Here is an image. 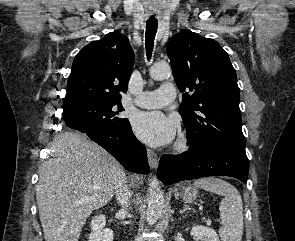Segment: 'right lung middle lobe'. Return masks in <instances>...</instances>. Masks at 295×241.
I'll list each match as a JSON object with an SVG mask.
<instances>
[{
  "label": "right lung middle lobe",
  "mask_w": 295,
  "mask_h": 241,
  "mask_svg": "<svg viewBox=\"0 0 295 241\" xmlns=\"http://www.w3.org/2000/svg\"><path fill=\"white\" fill-rule=\"evenodd\" d=\"M124 111L121 102L86 104L63 111L68 127L74 128L86 124H97L115 130H124L130 123L120 113Z\"/></svg>",
  "instance_id": "1"
}]
</instances>
